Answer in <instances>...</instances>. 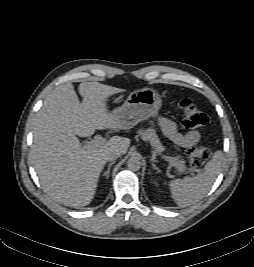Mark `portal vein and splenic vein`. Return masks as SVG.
Here are the masks:
<instances>
[{"label":"portal vein and splenic vein","mask_w":254,"mask_h":267,"mask_svg":"<svg viewBox=\"0 0 254 267\" xmlns=\"http://www.w3.org/2000/svg\"><path fill=\"white\" fill-rule=\"evenodd\" d=\"M105 143H106L105 138H103L101 135H96L93 140L88 141L86 143V146L87 147H91V146L97 147V146L103 145ZM161 158L164 159L165 161L169 162L170 165L174 166V163H173V160L171 159V157H168L166 155H162Z\"/></svg>","instance_id":"18ae733b"}]
</instances>
